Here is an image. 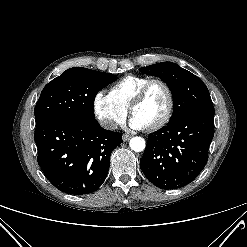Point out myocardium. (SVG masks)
Listing matches in <instances>:
<instances>
[{"label": "myocardium", "mask_w": 247, "mask_h": 247, "mask_svg": "<svg viewBox=\"0 0 247 247\" xmlns=\"http://www.w3.org/2000/svg\"><path fill=\"white\" fill-rule=\"evenodd\" d=\"M155 85H160L165 90L167 94V98H168V106H167L164 116L160 120L155 122L154 124L148 126L149 130H156V129L163 127L172 118L174 107H175V97H174V93L170 85L162 79H150L140 88V90L134 96V98L132 99L129 105V110L133 114L135 108L145 100L150 89Z\"/></svg>", "instance_id": "f54148a6"}]
</instances>
